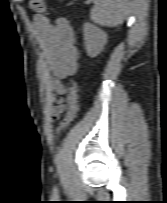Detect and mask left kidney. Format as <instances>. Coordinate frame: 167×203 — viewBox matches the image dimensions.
<instances>
[{"label": "left kidney", "mask_w": 167, "mask_h": 203, "mask_svg": "<svg viewBox=\"0 0 167 203\" xmlns=\"http://www.w3.org/2000/svg\"><path fill=\"white\" fill-rule=\"evenodd\" d=\"M85 49L90 57H96L101 53L107 43V34L101 29L85 23L83 26Z\"/></svg>", "instance_id": "1"}]
</instances>
